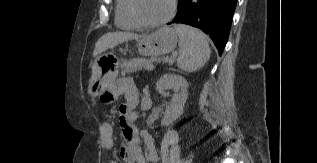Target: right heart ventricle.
Here are the masks:
<instances>
[{
    "instance_id": "e07e8e85",
    "label": "right heart ventricle",
    "mask_w": 317,
    "mask_h": 163,
    "mask_svg": "<svg viewBox=\"0 0 317 163\" xmlns=\"http://www.w3.org/2000/svg\"><path fill=\"white\" fill-rule=\"evenodd\" d=\"M129 0H116L115 23L123 30H135L140 28L129 12Z\"/></svg>"
}]
</instances>
